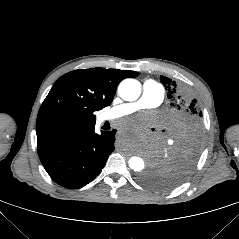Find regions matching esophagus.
I'll use <instances>...</instances> for the list:
<instances>
[{
  "mask_svg": "<svg viewBox=\"0 0 239 239\" xmlns=\"http://www.w3.org/2000/svg\"><path fill=\"white\" fill-rule=\"evenodd\" d=\"M115 139H116L117 141H122V140L124 139V134H123L122 132H117V133L115 134Z\"/></svg>",
  "mask_w": 239,
  "mask_h": 239,
  "instance_id": "1",
  "label": "esophagus"
}]
</instances>
